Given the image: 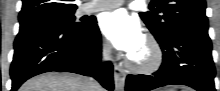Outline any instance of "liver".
I'll return each instance as SVG.
<instances>
[{
  "instance_id": "obj_1",
  "label": "liver",
  "mask_w": 220,
  "mask_h": 91,
  "mask_svg": "<svg viewBox=\"0 0 220 91\" xmlns=\"http://www.w3.org/2000/svg\"><path fill=\"white\" fill-rule=\"evenodd\" d=\"M94 80L72 73H46L26 81L19 91H103Z\"/></svg>"
}]
</instances>
